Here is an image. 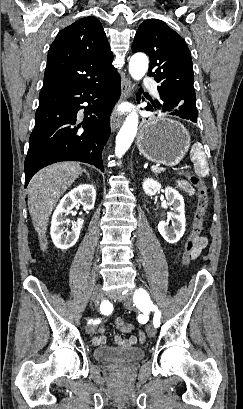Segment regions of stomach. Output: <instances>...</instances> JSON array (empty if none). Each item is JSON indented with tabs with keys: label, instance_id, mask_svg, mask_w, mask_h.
Returning <instances> with one entry per match:
<instances>
[{
	"label": "stomach",
	"instance_id": "obj_1",
	"mask_svg": "<svg viewBox=\"0 0 243 409\" xmlns=\"http://www.w3.org/2000/svg\"><path fill=\"white\" fill-rule=\"evenodd\" d=\"M136 143L140 153L148 160L173 166L187 153L190 135L180 122L158 116L143 124Z\"/></svg>",
	"mask_w": 243,
	"mask_h": 409
}]
</instances>
